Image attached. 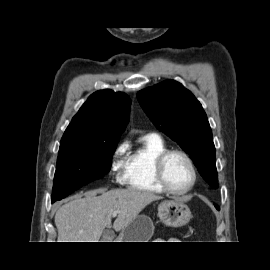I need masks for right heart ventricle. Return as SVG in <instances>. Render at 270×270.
<instances>
[{
    "mask_svg": "<svg viewBox=\"0 0 270 270\" xmlns=\"http://www.w3.org/2000/svg\"><path fill=\"white\" fill-rule=\"evenodd\" d=\"M167 150L164 140L156 134L141 138L139 146L127 157L124 182L136 191L160 194L164 190L157 183L154 163L159 154Z\"/></svg>",
    "mask_w": 270,
    "mask_h": 270,
    "instance_id": "1",
    "label": "right heart ventricle"
}]
</instances>
